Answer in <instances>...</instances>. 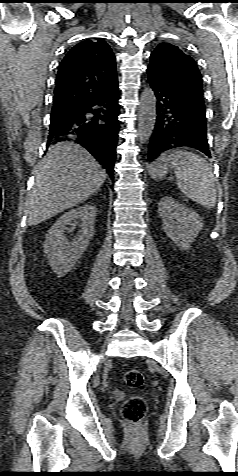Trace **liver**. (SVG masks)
<instances>
[{"mask_svg":"<svg viewBox=\"0 0 238 476\" xmlns=\"http://www.w3.org/2000/svg\"><path fill=\"white\" fill-rule=\"evenodd\" d=\"M34 175L35 182L26 199L29 226L85 201L107 177L93 156L74 142L51 146Z\"/></svg>","mask_w":238,"mask_h":476,"instance_id":"obj_1","label":"liver"}]
</instances>
